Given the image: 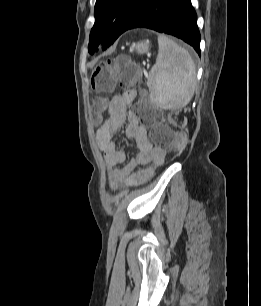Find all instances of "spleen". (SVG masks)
Returning a JSON list of instances; mask_svg holds the SVG:
<instances>
[{
  "mask_svg": "<svg viewBox=\"0 0 261 306\" xmlns=\"http://www.w3.org/2000/svg\"><path fill=\"white\" fill-rule=\"evenodd\" d=\"M159 52L149 72L150 99L165 109L186 106L194 95L195 63L189 52L164 35L158 36Z\"/></svg>",
  "mask_w": 261,
  "mask_h": 306,
  "instance_id": "obj_1",
  "label": "spleen"
}]
</instances>
